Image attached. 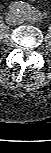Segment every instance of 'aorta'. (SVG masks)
Wrapping results in <instances>:
<instances>
[{
    "mask_svg": "<svg viewBox=\"0 0 51 153\" xmlns=\"http://www.w3.org/2000/svg\"><path fill=\"white\" fill-rule=\"evenodd\" d=\"M30 17H31L33 20H36V19L39 17V14H38L36 11H33V12L30 14Z\"/></svg>",
    "mask_w": 51,
    "mask_h": 153,
    "instance_id": "aorta-1",
    "label": "aorta"
}]
</instances>
